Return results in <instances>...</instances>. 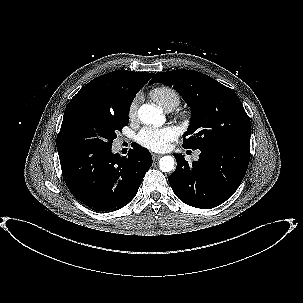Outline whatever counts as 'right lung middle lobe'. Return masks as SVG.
I'll list each match as a JSON object with an SVG mask.
<instances>
[{
    "label": "right lung middle lobe",
    "instance_id": "1",
    "mask_svg": "<svg viewBox=\"0 0 303 303\" xmlns=\"http://www.w3.org/2000/svg\"><path fill=\"white\" fill-rule=\"evenodd\" d=\"M128 122V114L114 115L87 103L66 108L57 136L59 157L110 149Z\"/></svg>",
    "mask_w": 303,
    "mask_h": 303
}]
</instances>
